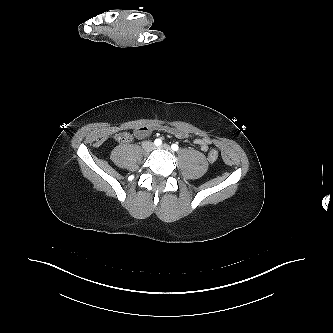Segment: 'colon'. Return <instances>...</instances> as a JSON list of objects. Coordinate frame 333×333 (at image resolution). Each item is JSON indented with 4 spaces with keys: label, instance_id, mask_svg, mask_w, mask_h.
I'll return each mask as SVG.
<instances>
[{
    "label": "colon",
    "instance_id": "obj_1",
    "mask_svg": "<svg viewBox=\"0 0 333 333\" xmlns=\"http://www.w3.org/2000/svg\"><path fill=\"white\" fill-rule=\"evenodd\" d=\"M132 138L131 134L128 132H119L115 135V139L120 143H125L130 141ZM218 151L216 149H210L208 152V159L211 162H214L218 159Z\"/></svg>",
    "mask_w": 333,
    "mask_h": 333
}]
</instances>
